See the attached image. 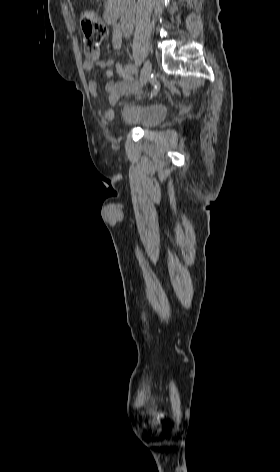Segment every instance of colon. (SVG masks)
I'll list each match as a JSON object with an SVG mask.
<instances>
[{
  "instance_id": "colon-1",
  "label": "colon",
  "mask_w": 280,
  "mask_h": 472,
  "mask_svg": "<svg viewBox=\"0 0 280 472\" xmlns=\"http://www.w3.org/2000/svg\"><path fill=\"white\" fill-rule=\"evenodd\" d=\"M80 25L84 35V51L88 58L95 57L101 43L108 36L106 25L91 10L80 13Z\"/></svg>"
}]
</instances>
